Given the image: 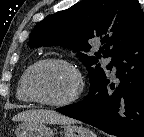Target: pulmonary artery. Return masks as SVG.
Listing matches in <instances>:
<instances>
[{"label":"pulmonary artery","mask_w":144,"mask_h":137,"mask_svg":"<svg viewBox=\"0 0 144 137\" xmlns=\"http://www.w3.org/2000/svg\"><path fill=\"white\" fill-rule=\"evenodd\" d=\"M106 63H109L112 61V57H107L105 60H104ZM112 69H113V72L115 73L116 72V67L115 65L112 66Z\"/></svg>","instance_id":"1"}]
</instances>
